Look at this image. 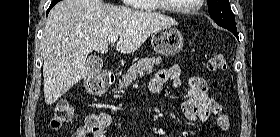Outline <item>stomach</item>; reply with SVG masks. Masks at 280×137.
Returning a JSON list of instances; mask_svg holds the SVG:
<instances>
[{"instance_id":"stomach-1","label":"stomach","mask_w":280,"mask_h":137,"mask_svg":"<svg viewBox=\"0 0 280 137\" xmlns=\"http://www.w3.org/2000/svg\"><path fill=\"white\" fill-rule=\"evenodd\" d=\"M153 49L160 55L173 56L184 45L182 34L171 26L164 27L151 35ZM87 87H91L87 85Z\"/></svg>"}]
</instances>
